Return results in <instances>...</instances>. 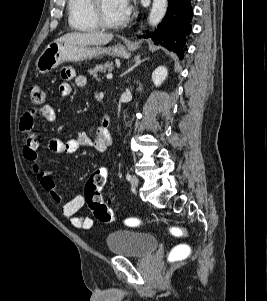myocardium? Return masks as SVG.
Returning <instances> with one entry per match:
<instances>
[{
  "mask_svg": "<svg viewBox=\"0 0 267 301\" xmlns=\"http://www.w3.org/2000/svg\"><path fill=\"white\" fill-rule=\"evenodd\" d=\"M92 15L100 28L103 29H119L127 25L129 22V16L126 15L124 19L118 22L107 21L102 13V0H92L91 4Z\"/></svg>",
  "mask_w": 267,
  "mask_h": 301,
  "instance_id": "1",
  "label": "myocardium"
}]
</instances>
